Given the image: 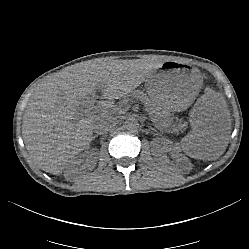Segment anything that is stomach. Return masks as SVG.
<instances>
[{"mask_svg":"<svg viewBox=\"0 0 249 249\" xmlns=\"http://www.w3.org/2000/svg\"><path fill=\"white\" fill-rule=\"evenodd\" d=\"M203 76L199 69H188L176 61H166L150 78L145 90L159 104L161 112L169 117L184 115L201 90ZM151 98V99H152Z\"/></svg>","mask_w":249,"mask_h":249,"instance_id":"obj_1","label":"stomach"}]
</instances>
